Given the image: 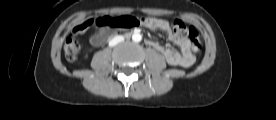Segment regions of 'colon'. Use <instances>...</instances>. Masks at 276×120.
<instances>
[{
  "label": "colon",
  "instance_id": "5ec220e1",
  "mask_svg": "<svg viewBox=\"0 0 276 120\" xmlns=\"http://www.w3.org/2000/svg\"><path fill=\"white\" fill-rule=\"evenodd\" d=\"M142 22H150L151 18H142ZM138 19L132 16H119V17H100L96 20L88 19L81 24L77 25L74 30L76 33L86 31L91 25L96 24L99 27H112L127 29L134 27L138 24ZM174 35L179 39H187L191 45V51L197 54L201 50V41L197 30L193 27L187 26L181 20L173 22ZM80 53V45L77 39L70 36L66 39L64 45V54L69 61H74L78 58Z\"/></svg>",
  "mask_w": 276,
  "mask_h": 120
}]
</instances>
